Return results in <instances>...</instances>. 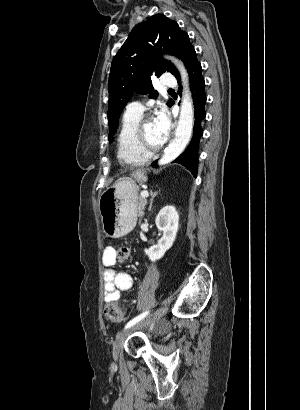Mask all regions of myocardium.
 Segmentation results:
<instances>
[{
  "label": "myocardium",
  "mask_w": 300,
  "mask_h": 410,
  "mask_svg": "<svg viewBox=\"0 0 300 410\" xmlns=\"http://www.w3.org/2000/svg\"><path fill=\"white\" fill-rule=\"evenodd\" d=\"M149 120H151V118L148 116L141 117L140 120L136 124L135 132H134V139H135L137 146L139 147L141 151L147 154L160 151L165 144V142H162L159 145H151L148 143V141L146 140L145 133H144V125Z\"/></svg>",
  "instance_id": "f54148a6"
}]
</instances>
